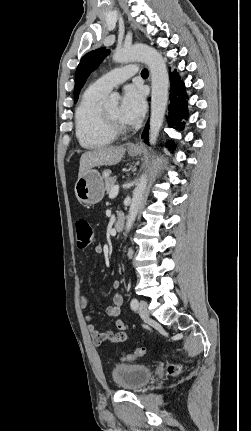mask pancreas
I'll return each mask as SVG.
<instances>
[{
  "label": "pancreas",
  "mask_w": 251,
  "mask_h": 431,
  "mask_svg": "<svg viewBox=\"0 0 251 431\" xmlns=\"http://www.w3.org/2000/svg\"><path fill=\"white\" fill-rule=\"evenodd\" d=\"M110 171H106L104 173V180H105V191L107 192V194L110 193L111 189L113 188L115 182H116V178L115 177H109Z\"/></svg>",
  "instance_id": "1"
}]
</instances>
